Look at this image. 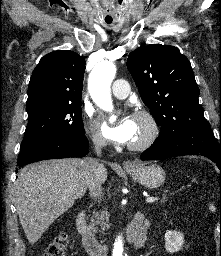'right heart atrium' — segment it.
I'll list each match as a JSON object with an SVG mask.
<instances>
[{"instance_id": "obj_1", "label": "right heart atrium", "mask_w": 221, "mask_h": 256, "mask_svg": "<svg viewBox=\"0 0 221 256\" xmlns=\"http://www.w3.org/2000/svg\"><path fill=\"white\" fill-rule=\"evenodd\" d=\"M90 133H91V139L95 145H97V146L105 145L104 136L93 125H91V127H90Z\"/></svg>"}]
</instances>
